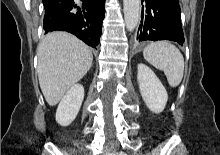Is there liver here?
Listing matches in <instances>:
<instances>
[{"label": "liver", "mask_w": 220, "mask_h": 155, "mask_svg": "<svg viewBox=\"0 0 220 155\" xmlns=\"http://www.w3.org/2000/svg\"><path fill=\"white\" fill-rule=\"evenodd\" d=\"M38 78L45 100L55 106L88 72L91 49L67 32L47 34L38 47Z\"/></svg>", "instance_id": "liver-1"}]
</instances>
